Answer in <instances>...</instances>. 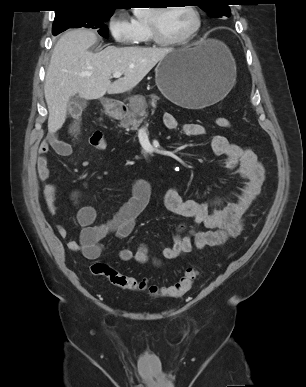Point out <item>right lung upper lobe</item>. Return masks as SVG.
<instances>
[{
    "instance_id": "1",
    "label": "right lung upper lobe",
    "mask_w": 306,
    "mask_h": 387,
    "mask_svg": "<svg viewBox=\"0 0 306 387\" xmlns=\"http://www.w3.org/2000/svg\"><path fill=\"white\" fill-rule=\"evenodd\" d=\"M60 6L56 14L70 9H112L116 0H59Z\"/></svg>"
}]
</instances>
